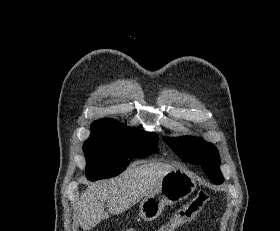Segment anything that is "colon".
<instances>
[{
  "instance_id": "colon-1",
  "label": "colon",
  "mask_w": 280,
  "mask_h": 231,
  "mask_svg": "<svg viewBox=\"0 0 280 231\" xmlns=\"http://www.w3.org/2000/svg\"><path fill=\"white\" fill-rule=\"evenodd\" d=\"M208 201V193L198 191L191 197L183 209L176 212V220L172 221L173 225H163L161 231H175L179 229L178 225H189V220H196V215L193 214L200 213V210L206 206Z\"/></svg>"
}]
</instances>
